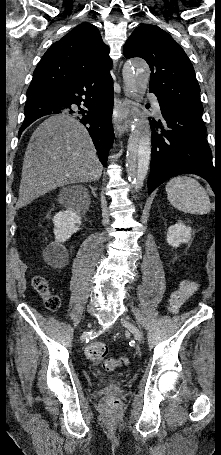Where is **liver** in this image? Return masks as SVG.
<instances>
[{"label": "liver", "mask_w": 221, "mask_h": 455, "mask_svg": "<svg viewBox=\"0 0 221 455\" xmlns=\"http://www.w3.org/2000/svg\"><path fill=\"white\" fill-rule=\"evenodd\" d=\"M101 175L85 127L73 117L53 115L37 127L28 143L16 209L57 187L96 181Z\"/></svg>", "instance_id": "1"}]
</instances>
